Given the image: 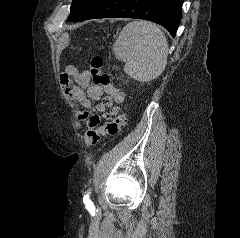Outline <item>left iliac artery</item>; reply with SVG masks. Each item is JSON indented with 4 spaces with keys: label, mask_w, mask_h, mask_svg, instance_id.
I'll use <instances>...</instances> for the list:
<instances>
[{
    "label": "left iliac artery",
    "mask_w": 240,
    "mask_h": 238,
    "mask_svg": "<svg viewBox=\"0 0 240 238\" xmlns=\"http://www.w3.org/2000/svg\"><path fill=\"white\" fill-rule=\"evenodd\" d=\"M91 193V187L88 188V190L86 191L85 195H84V203L86 205V207L89 209V210H93L94 209V206H93V203L91 202V200L89 199V194Z\"/></svg>",
    "instance_id": "obj_1"
}]
</instances>
